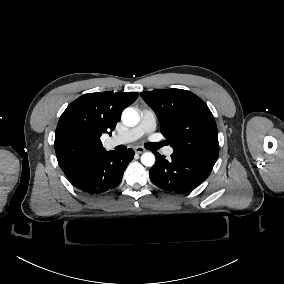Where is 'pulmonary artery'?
Segmentation results:
<instances>
[{
    "label": "pulmonary artery",
    "instance_id": "pulmonary-artery-1",
    "mask_svg": "<svg viewBox=\"0 0 284 284\" xmlns=\"http://www.w3.org/2000/svg\"><path fill=\"white\" fill-rule=\"evenodd\" d=\"M156 116L149 110L142 111V117L138 125L135 127L116 135H113L107 139V144L111 146H117L121 144H127L133 142L145 134H148L155 130Z\"/></svg>",
    "mask_w": 284,
    "mask_h": 284
}]
</instances>
